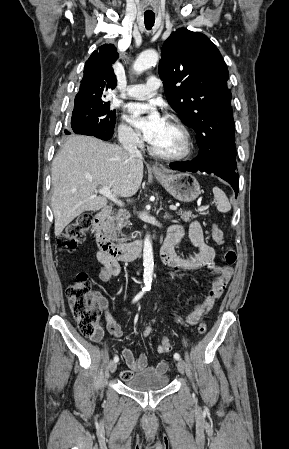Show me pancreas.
I'll return each instance as SVG.
<instances>
[{"label":"pancreas","mask_w":289,"mask_h":449,"mask_svg":"<svg viewBox=\"0 0 289 449\" xmlns=\"http://www.w3.org/2000/svg\"><path fill=\"white\" fill-rule=\"evenodd\" d=\"M177 214L186 222H189L194 217L191 211L186 210H179ZM129 218L130 214L125 211H118L116 214L109 216L105 223L104 232L111 240L119 243L124 242L126 238L122 233V229L130 224ZM119 234H121L122 238H118Z\"/></svg>","instance_id":"1"}]
</instances>
